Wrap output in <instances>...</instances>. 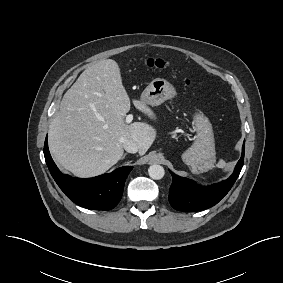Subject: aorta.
Returning a JSON list of instances; mask_svg holds the SVG:
<instances>
[{
  "instance_id": "1",
  "label": "aorta",
  "mask_w": 283,
  "mask_h": 283,
  "mask_svg": "<svg viewBox=\"0 0 283 283\" xmlns=\"http://www.w3.org/2000/svg\"><path fill=\"white\" fill-rule=\"evenodd\" d=\"M149 176L154 180H160L164 177L165 170L161 165H151L148 169Z\"/></svg>"
}]
</instances>
